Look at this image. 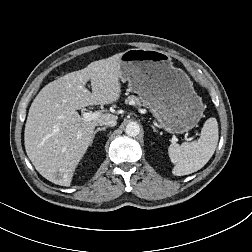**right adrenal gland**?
Returning <instances> with one entry per match:
<instances>
[{
    "label": "right adrenal gland",
    "mask_w": 252,
    "mask_h": 252,
    "mask_svg": "<svg viewBox=\"0 0 252 252\" xmlns=\"http://www.w3.org/2000/svg\"><path fill=\"white\" fill-rule=\"evenodd\" d=\"M107 127H102V128H97L94 133H93V138L95 137V135L99 132V131H105Z\"/></svg>",
    "instance_id": "right-adrenal-gland-1"
}]
</instances>
